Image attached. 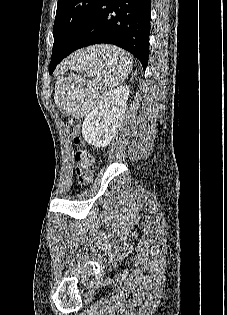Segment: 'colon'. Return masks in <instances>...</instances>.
I'll list each match as a JSON object with an SVG mask.
<instances>
[{
    "label": "colon",
    "instance_id": "colon-1",
    "mask_svg": "<svg viewBox=\"0 0 227 315\" xmlns=\"http://www.w3.org/2000/svg\"><path fill=\"white\" fill-rule=\"evenodd\" d=\"M67 133L75 140L79 145H82L80 137L81 124L76 118L68 120L66 124ZM94 167L93 156L85 149L81 148L76 153L75 160V177L78 184L85 185L91 181Z\"/></svg>",
    "mask_w": 227,
    "mask_h": 315
}]
</instances>
